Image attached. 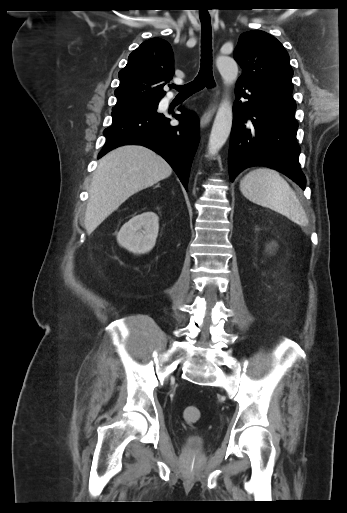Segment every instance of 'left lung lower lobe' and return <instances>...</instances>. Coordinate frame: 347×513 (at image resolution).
Here are the masks:
<instances>
[{
	"label": "left lung lower lobe",
	"instance_id": "left-lung-lower-lobe-1",
	"mask_svg": "<svg viewBox=\"0 0 347 513\" xmlns=\"http://www.w3.org/2000/svg\"><path fill=\"white\" fill-rule=\"evenodd\" d=\"M292 89L237 81L229 149L231 181L243 169L262 165L284 173L305 189Z\"/></svg>",
	"mask_w": 347,
	"mask_h": 513
}]
</instances>
